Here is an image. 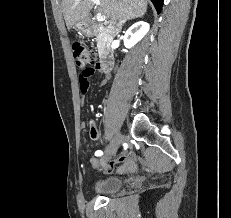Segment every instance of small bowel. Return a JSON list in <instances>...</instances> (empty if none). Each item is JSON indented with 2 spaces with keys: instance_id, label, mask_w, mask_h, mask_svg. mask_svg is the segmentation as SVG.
I'll list each match as a JSON object with an SVG mask.
<instances>
[{
  "instance_id": "small-bowel-1",
  "label": "small bowel",
  "mask_w": 231,
  "mask_h": 218,
  "mask_svg": "<svg viewBox=\"0 0 231 218\" xmlns=\"http://www.w3.org/2000/svg\"><path fill=\"white\" fill-rule=\"evenodd\" d=\"M100 65L95 63L94 66H87L86 69H79V82L82 92H86L89 87V78L98 70ZM105 80L101 82L104 84ZM85 124L81 123V128H84ZM90 138L98 144L99 141V130L94 123L90 124L89 128ZM92 167H101L106 173H117L119 175L130 174L136 170L137 167V156L136 154L129 152L121 155L117 159L111 162H101L98 159H90Z\"/></svg>"
}]
</instances>
